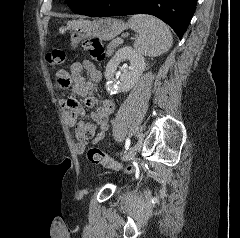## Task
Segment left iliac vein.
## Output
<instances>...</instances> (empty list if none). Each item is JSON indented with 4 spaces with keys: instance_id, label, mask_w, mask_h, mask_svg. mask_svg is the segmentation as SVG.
<instances>
[{
    "instance_id": "left-iliac-vein-1",
    "label": "left iliac vein",
    "mask_w": 240,
    "mask_h": 238,
    "mask_svg": "<svg viewBox=\"0 0 240 238\" xmlns=\"http://www.w3.org/2000/svg\"><path fill=\"white\" fill-rule=\"evenodd\" d=\"M140 147H141V144H140V146H137V148L135 150H132V152L129 153V155H123L122 160L123 161H130V160H132L135 157V155L137 154V152L140 149Z\"/></svg>"
}]
</instances>
